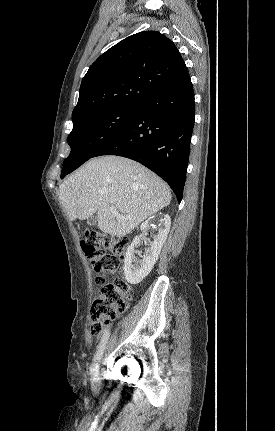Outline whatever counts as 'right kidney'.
<instances>
[{
    "instance_id": "1",
    "label": "right kidney",
    "mask_w": 275,
    "mask_h": 431,
    "mask_svg": "<svg viewBox=\"0 0 275 431\" xmlns=\"http://www.w3.org/2000/svg\"><path fill=\"white\" fill-rule=\"evenodd\" d=\"M163 227L158 229V234L154 236L152 242L147 243L149 245L145 254L142 256L141 260H137L134 257V248L137 244L141 242L142 236H136L131 245L128 247L125 258H124V275L127 282L130 284L140 283L152 270L154 264L156 263L158 256L161 252L162 246L167 239V235L171 226V219L169 215H164L161 220ZM150 221L147 220L141 224V230H145L150 226Z\"/></svg>"
}]
</instances>
